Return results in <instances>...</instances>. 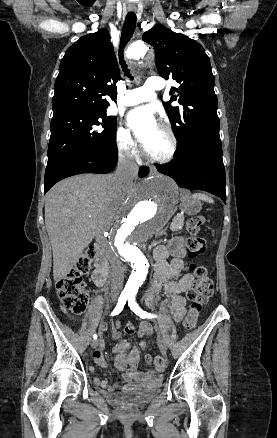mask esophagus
<instances>
[{"instance_id":"esophagus-1","label":"esophagus","mask_w":277,"mask_h":438,"mask_svg":"<svg viewBox=\"0 0 277 438\" xmlns=\"http://www.w3.org/2000/svg\"><path fill=\"white\" fill-rule=\"evenodd\" d=\"M129 12H136L137 7H128Z\"/></svg>"}]
</instances>
